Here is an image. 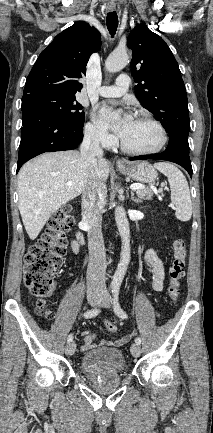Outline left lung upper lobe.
Returning <instances> with one entry per match:
<instances>
[{"label": "left lung upper lobe", "instance_id": "5c2ea615", "mask_svg": "<svg viewBox=\"0 0 213 433\" xmlns=\"http://www.w3.org/2000/svg\"><path fill=\"white\" fill-rule=\"evenodd\" d=\"M127 46L133 53L131 70L138 83L135 86L138 100L169 133V143L180 142L189 147L187 93L170 48L143 24L131 31Z\"/></svg>", "mask_w": 213, "mask_h": 433}]
</instances>
